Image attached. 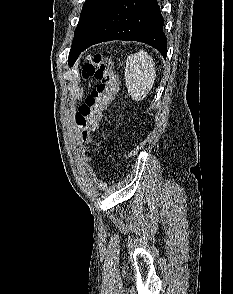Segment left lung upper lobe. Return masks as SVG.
Wrapping results in <instances>:
<instances>
[{
    "mask_svg": "<svg viewBox=\"0 0 233 294\" xmlns=\"http://www.w3.org/2000/svg\"><path fill=\"white\" fill-rule=\"evenodd\" d=\"M110 2L111 0H86L84 3L69 53L70 66L80 55L84 41Z\"/></svg>",
    "mask_w": 233,
    "mask_h": 294,
    "instance_id": "obj_1",
    "label": "left lung upper lobe"
}]
</instances>
